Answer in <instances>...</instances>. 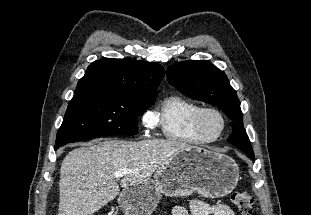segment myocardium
Returning a JSON list of instances; mask_svg holds the SVG:
<instances>
[{"label":"myocardium","instance_id":"obj_1","mask_svg":"<svg viewBox=\"0 0 311 215\" xmlns=\"http://www.w3.org/2000/svg\"><path fill=\"white\" fill-rule=\"evenodd\" d=\"M208 114H214L220 120V128L215 134H211L205 127L204 120ZM193 126L195 131L203 138L213 141L221 136L226 127V118L224 114L217 108L204 107L201 108L194 117Z\"/></svg>","mask_w":311,"mask_h":215}]
</instances>
